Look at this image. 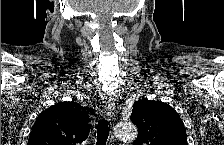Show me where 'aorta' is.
I'll list each match as a JSON object with an SVG mask.
<instances>
[{
  "label": "aorta",
  "mask_w": 224,
  "mask_h": 145,
  "mask_svg": "<svg viewBox=\"0 0 224 145\" xmlns=\"http://www.w3.org/2000/svg\"><path fill=\"white\" fill-rule=\"evenodd\" d=\"M137 134V128L132 122L119 123L114 129V137L120 141H133Z\"/></svg>",
  "instance_id": "762f6f07"
}]
</instances>
